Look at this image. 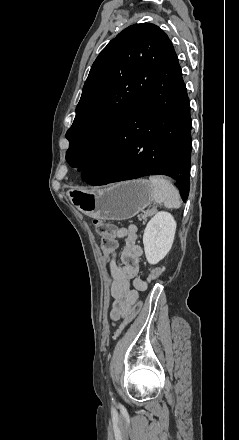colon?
<instances>
[{
	"label": "colon",
	"instance_id": "obj_1",
	"mask_svg": "<svg viewBox=\"0 0 239 440\" xmlns=\"http://www.w3.org/2000/svg\"><path fill=\"white\" fill-rule=\"evenodd\" d=\"M94 227L97 232V234L100 236L101 239V245L103 252L105 254H110V252L113 250L116 242V228L113 224L102 220V219H94ZM163 273L162 268H154L149 276L148 280H154L158 278ZM142 308L141 303L135 304L133 307V310L129 316H127L122 324L119 326L118 330L114 334V338L117 339L122 334L123 330L126 328L128 324L132 322V320L138 315Z\"/></svg>",
	"mask_w": 239,
	"mask_h": 440
}]
</instances>
